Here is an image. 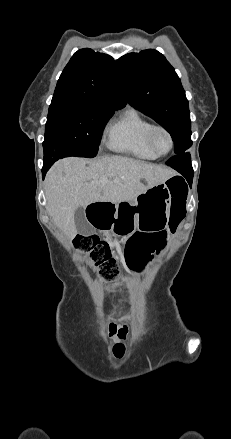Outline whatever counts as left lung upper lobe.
<instances>
[{
    "instance_id": "5c2ea615",
    "label": "left lung upper lobe",
    "mask_w": 231,
    "mask_h": 439,
    "mask_svg": "<svg viewBox=\"0 0 231 439\" xmlns=\"http://www.w3.org/2000/svg\"><path fill=\"white\" fill-rule=\"evenodd\" d=\"M116 66L130 105L163 126L175 153H184L192 145L190 112L174 68L153 49L126 54Z\"/></svg>"
}]
</instances>
